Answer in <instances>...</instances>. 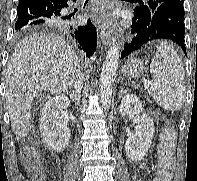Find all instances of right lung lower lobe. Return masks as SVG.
I'll use <instances>...</instances> for the list:
<instances>
[{
  "mask_svg": "<svg viewBox=\"0 0 197 181\" xmlns=\"http://www.w3.org/2000/svg\"><path fill=\"white\" fill-rule=\"evenodd\" d=\"M70 1L76 2V0H19L16 30L43 26L66 31L79 43L88 57L92 56L97 45L96 28L89 20L86 25L79 26L69 20L70 16L64 15Z\"/></svg>",
  "mask_w": 197,
  "mask_h": 181,
  "instance_id": "98d812e1",
  "label": "right lung lower lobe"
}]
</instances>
